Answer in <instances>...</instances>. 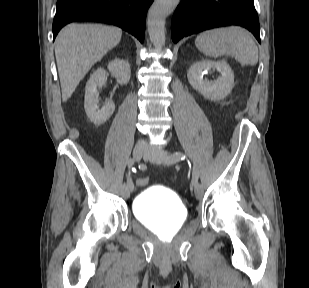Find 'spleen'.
Instances as JSON below:
<instances>
[{"label":"spleen","instance_id":"obj_1","mask_svg":"<svg viewBox=\"0 0 309 288\" xmlns=\"http://www.w3.org/2000/svg\"><path fill=\"white\" fill-rule=\"evenodd\" d=\"M195 45L208 57H221L225 54L234 57L241 65H256L258 47L243 29L235 26L215 28L200 33Z\"/></svg>","mask_w":309,"mask_h":288}]
</instances>
